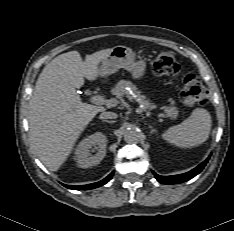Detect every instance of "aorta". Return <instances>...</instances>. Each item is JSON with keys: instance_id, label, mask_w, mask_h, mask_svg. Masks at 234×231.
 I'll return each mask as SVG.
<instances>
[{"instance_id": "1", "label": "aorta", "mask_w": 234, "mask_h": 231, "mask_svg": "<svg viewBox=\"0 0 234 231\" xmlns=\"http://www.w3.org/2000/svg\"><path fill=\"white\" fill-rule=\"evenodd\" d=\"M141 131L137 127H129L124 132V140L129 144H136L141 139Z\"/></svg>"}]
</instances>
